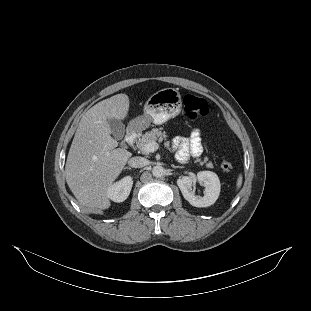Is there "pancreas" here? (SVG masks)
Here are the masks:
<instances>
[{
	"mask_svg": "<svg viewBox=\"0 0 311 311\" xmlns=\"http://www.w3.org/2000/svg\"><path fill=\"white\" fill-rule=\"evenodd\" d=\"M168 138L169 135L166 131H163V127L153 128L150 131H147L141 138L136 140V147L140 149L147 143L156 141L161 142L163 140H167ZM168 146H170V143H168ZM194 162L197 166L205 165L206 168H213V163L212 161H209L208 157H204L203 159L201 157H197Z\"/></svg>",
	"mask_w": 311,
	"mask_h": 311,
	"instance_id": "cf45deb5",
	"label": "pancreas"
}]
</instances>
